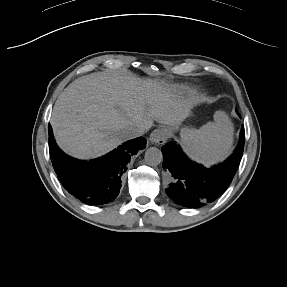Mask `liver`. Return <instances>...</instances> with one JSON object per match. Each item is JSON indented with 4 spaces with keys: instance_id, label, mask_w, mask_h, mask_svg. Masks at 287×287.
<instances>
[{
    "instance_id": "obj_1",
    "label": "liver",
    "mask_w": 287,
    "mask_h": 287,
    "mask_svg": "<svg viewBox=\"0 0 287 287\" xmlns=\"http://www.w3.org/2000/svg\"><path fill=\"white\" fill-rule=\"evenodd\" d=\"M152 80L103 72L82 76L70 83L55 102L51 126L59 147L78 159L105 155L127 140V125L154 121L179 125L189 114L190 103Z\"/></svg>"
}]
</instances>
